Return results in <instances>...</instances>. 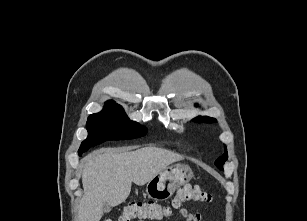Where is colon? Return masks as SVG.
<instances>
[{"label":"colon","mask_w":307,"mask_h":221,"mask_svg":"<svg viewBox=\"0 0 307 221\" xmlns=\"http://www.w3.org/2000/svg\"><path fill=\"white\" fill-rule=\"evenodd\" d=\"M211 199V194L199 186L184 185L169 204L155 201L130 202L118 217L104 221H160L185 203H209Z\"/></svg>","instance_id":"obj_1"}]
</instances>
